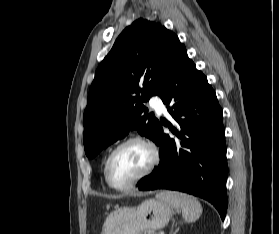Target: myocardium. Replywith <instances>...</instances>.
<instances>
[{
  "label": "myocardium",
  "instance_id": "f54148a6",
  "mask_svg": "<svg viewBox=\"0 0 279 234\" xmlns=\"http://www.w3.org/2000/svg\"><path fill=\"white\" fill-rule=\"evenodd\" d=\"M131 143H139V144L145 146L150 152V161H149L148 165L146 166V168L133 180H131L125 184L117 185L110 178L109 170H110L111 161L120 149H122L123 147H125L126 145L131 144ZM159 159H160L159 151H158L156 145L152 141H150L149 139H147L145 137L139 136V135L130 136V137L124 139L123 141H121L108 155V157L105 161V166H104V176H105L106 182L113 189H116L119 191L128 190L131 187L135 186L137 183H139L141 180L146 178L157 166V164L159 163Z\"/></svg>",
  "mask_w": 279,
  "mask_h": 234
}]
</instances>
